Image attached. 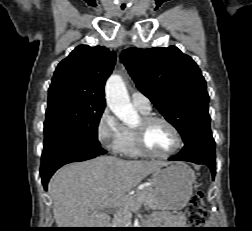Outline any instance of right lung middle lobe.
<instances>
[{
    "label": "right lung middle lobe",
    "mask_w": 252,
    "mask_h": 231,
    "mask_svg": "<svg viewBox=\"0 0 252 231\" xmlns=\"http://www.w3.org/2000/svg\"><path fill=\"white\" fill-rule=\"evenodd\" d=\"M104 107L65 97L49 99L43 150L67 142L100 146L97 128Z\"/></svg>",
    "instance_id": "dd1d6c3e"
}]
</instances>
